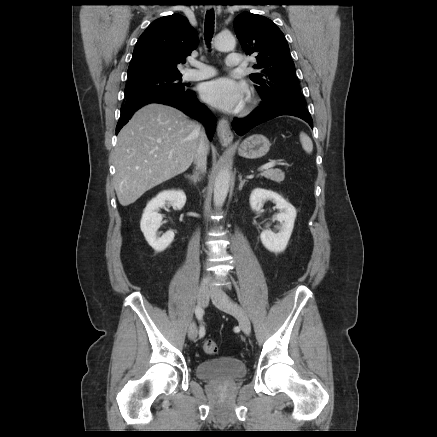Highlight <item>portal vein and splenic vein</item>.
Instances as JSON below:
<instances>
[{
    "mask_svg": "<svg viewBox=\"0 0 437 437\" xmlns=\"http://www.w3.org/2000/svg\"><path fill=\"white\" fill-rule=\"evenodd\" d=\"M275 165H276L275 162H269V163H266V164H264L263 166H261V167L259 168V170H260V171L267 170V169H269V168L274 167Z\"/></svg>",
    "mask_w": 437,
    "mask_h": 437,
    "instance_id": "1",
    "label": "portal vein and splenic vein"
}]
</instances>
